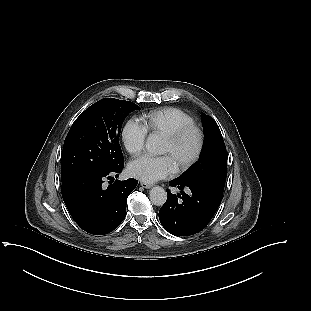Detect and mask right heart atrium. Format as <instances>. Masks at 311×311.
Here are the masks:
<instances>
[{"label":"right heart atrium","instance_id":"obj_1","mask_svg":"<svg viewBox=\"0 0 311 311\" xmlns=\"http://www.w3.org/2000/svg\"><path fill=\"white\" fill-rule=\"evenodd\" d=\"M147 131L144 125L136 119H129L122 130V138L127 151L133 155H138L144 148Z\"/></svg>","mask_w":311,"mask_h":311}]
</instances>
